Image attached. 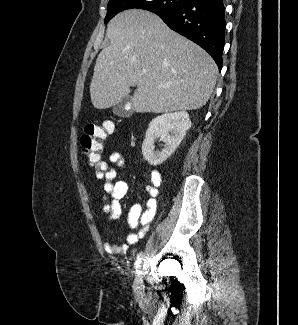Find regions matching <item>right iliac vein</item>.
I'll use <instances>...</instances> for the list:
<instances>
[{
	"instance_id": "63e3f726",
	"label": "right iliac vein",
	"mask_w": 298,
	"mask_h": 325,
	"mask_svg": "<svg viewBox=\"0 0 298 325\" xmlns=\"http://www.w3.org/2000/svg\"><path fill=\"white\" fill-rule=\"evenodd\" d=\"M133 288L136 295H141L143 293L144 285L141 271H139L135 278Z\"/></svg>"
}]
</instances>
